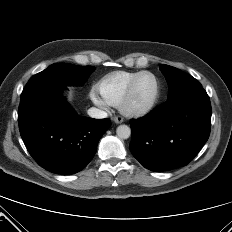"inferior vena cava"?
Instances as JSON below:
<instances>
[{
    "instance_id": "obj_1",
    "label": "inferior vena cava",
    "mask_w": 232,
    "mask_h": 232,
    "mask_svg": "<svg viewBox=\"0 0 232 232\" xmlns=\"http://www.w3.org/2000/svg\"><path fill=\"white\" fill-rule=\"evenodd\" d=\"M88 115L92 118H96V119H103V118H106L108 115L105 111L103 110H100L98 108H95V107H91L89 110H88Z\"/></svg>"
}]
</instances>
